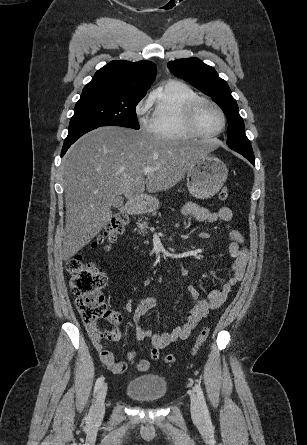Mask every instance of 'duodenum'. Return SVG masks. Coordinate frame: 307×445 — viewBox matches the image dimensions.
<instances>
[{"label":"duodenum","instance_id":"obj_1","mask_svg":"<svg viewBox=\"0 0 307 445\" xmlns=\"http://www.w3.org/2000/svg\"><path fill=\"white\" fill-rule=\"evenodd\" d=\"M148 199L145 196L137 197L129 201L125 207V210L130 215H136L143 211Z\"/></svg>","mask_w":307,"mask_h":445}]
</instances>
